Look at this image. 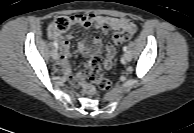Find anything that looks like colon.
Instances as JSON below:
<instances>
[{
    "label": "colon",
    "mask_w": 194,
    "mask_h": 133,
    "mask_svg": "<svg viewBox=\"0 0 194 133\" xmlns=\"http://www.w3.org/2000/svg\"><path fill=\"white\" fill-rule=\"evenodd\" d=\"M71 24L69 17H58L52 23L50 28L57 35L65 32ZM133 33L129 31H120L113 36V42L115 45H120L123 42L132 38ZM104 60L100 55H94L91 57L84 66V69L79 72L78 78L83 85V92L86 95H91L95 91V87L92 84L97 85L102 90H108L111 88V81L104 76L102 66ZM88 79L91 83H87L85 79Z\"/></svg>",
    "instance_id": "colon-1"
}]
</instances>
